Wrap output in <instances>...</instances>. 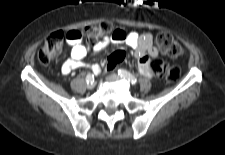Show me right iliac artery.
<instances>
[{"label": "right iliac artery", "instance_id": "82829eb1", "mask_svg": "<svg viewBox=\"0 0 225 155\" xmlns=\"http://www.w3.org/2000/svg\"><path fill=\"white\" fill-rule=\"evenodd\" d=\"M90 81H94V75L89 73V74L86 76V82L88 83V82H90Z\"/></svg>", "mask_w": 225, "mask_h": 155}]
</instances>
